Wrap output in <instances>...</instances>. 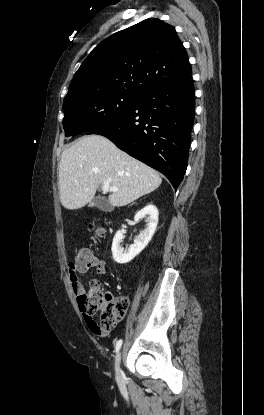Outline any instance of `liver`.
<instances>
[{
    "label": "liver",
    "mask_w": 264,
    "mask_h": 415,
    "mask_svg": "<svg viewBox=\"0 0 264 415\" xmlns=\"http://www.w3.org/2000/svg\"><path fill=\"white\" fill-rule=\"evenodd\" d=\"M58 170L60 201L68 210L84 207L106 181L118 188L108 198L116 207L134 202L162 183L157 171L100 135L84 136L65 149Z\"/></svg>",
    "instance_id": "1"
}]
</instances>
